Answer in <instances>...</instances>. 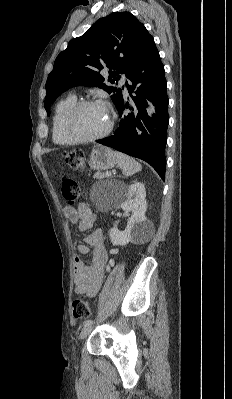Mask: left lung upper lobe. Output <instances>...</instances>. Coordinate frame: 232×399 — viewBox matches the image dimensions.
Segmentation results:
<instances>
[{
	"mask_svg": "<svg viewBox=\"0 0 232 399\" xmlns=\"http://www.w3.org/2000/svg\"><path fill=\"white\" fill-rule=\"evenodd\" d=\"M153 37L130 12H114L100 18L80 37L72 39L57 56L46 82L44 107L50 115V105L74 86L100 87L113 93L111 99L118 107L122 90L107 86L100 71L109 68L108 81L117 83L120 76L128 77L136 60Z\"/></svg>",
	"mask_w": 232,
	"mask_h": 399,
	"instance_id": "obj_1",
	"label": "left lung upper lobe"
}]
</instances>
